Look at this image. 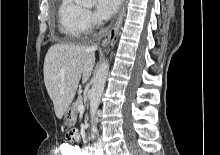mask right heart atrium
<instances>
[{"mask_svg":"<svg viewBox=\"0 0 220 155\" xmlns=\"http://www.w3.org/2000/svg\"><path fill=\"white\" fill-rule=\"evenodd\" d=\"M100 18L94 12L87 10L85 11V23L87 31H90L100 24Z\"/></svg>","mask_w":220,"mask_h":155,"instance_id":"d8ad5b80","label":"right heart atrium"}]
</instances>
